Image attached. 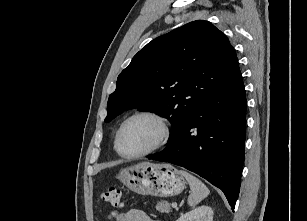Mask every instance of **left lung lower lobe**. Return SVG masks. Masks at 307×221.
<instances>
[{
    "instance_id": "0a47b994",
    "label": "left lung lower lobe",
    "mask_w": 307,
    "mask_h": 221,
    "mask_svg": "<svg viewBox=\"0 0 307 221\" xmlns=\"http://www.w3.org/2000/svg\"><path fill=\"white\" fill-rule=\"evenodd\" d=\"M246 107L237 65L226 82L191 112L166 148L148 159L195 172L220 188L234 209L244 162Z\"/></svg>"
}]
</instances>
